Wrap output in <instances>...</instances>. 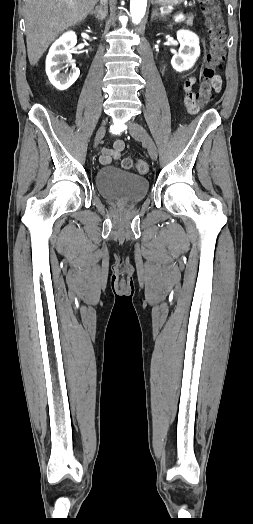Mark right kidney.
<instances>
[{"label": "right kidney", "instance_id": "1", "mask_svg": "<svg viewBox=\"0 0 253 524\" xmlns=\"http://www.w3.org/2000/svg\"><path fill=\"white\" fill-rule=\"evenodd\" d=\"M76 43L77 37L75 33L69 31L56 40L49 49L46 58V73L51 84L58 90L68 89L79 77L80 71L74 64H71L72 67L69 73H60L63 69V64L68 66L71 63V49Z\"/></svg>", "mask_w": 253, "mask_h": 524}]
</instances>
